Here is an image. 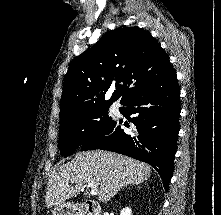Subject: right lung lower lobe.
Masks as SVG:
<instances>
[{
    "mask_svg": "<svg viewBox=\"0 0 221 215\" xmlns=\"http://www.w3.org/2000/svg\"><path fill=\"white\" fill-rule=\"evenodd\" d=\"M180 89L172 69L164 78L129 97L120 112L134 126L131 131L113 120L88 137L81 150L104 149L153 166L168 191L179 133ZM129 128V127H128Z\"/></svg>",
    "mask_w": 221,
    "mask_h": 215,
    "instance_id": "right-lung-lower-lobe-1",
    "label": "right lung lower lobe"
}]
</instances>
